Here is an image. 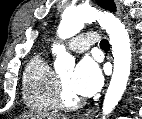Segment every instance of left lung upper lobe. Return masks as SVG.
<instances>
[{
	"label": "left lung upper lobe",
	"mask_w": 142,
	"mask_h": 119,
	"mask_svg": "<svg viewBox=\"0 0 142 119\" xmlns=\"http://www.w3.org/2000/svg\"><path fill=\"white\" fill-rule=\"evenodd\" d=\"M96 2L100 7L106 10L114 12L116 9L115 4L112 0H96Z\"/></svg>",
	"instance_id": "left-lung-upper-lobe-1"
}]
</instances>
